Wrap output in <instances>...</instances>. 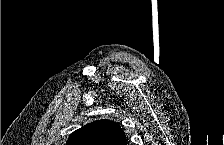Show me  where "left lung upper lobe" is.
<instances>
[{
    "mask_svg": "<svg viewBox=\"0 0 224 145\" xmlns=\"http://www.w3.org/2000/svg\"><path fill=\"white\" fill-rule=\"evenodd\" d=\"M67 145H127L125 133L113 121L97 120L73 132Z\"/></svg>",
    "mask_w": 224,
    "mask_h": 145,
    "instance_id": "1",
    "label": "left lung upper lobe"
}]
</instances>
